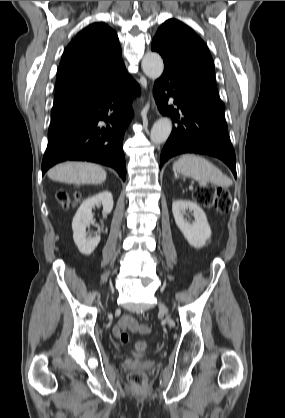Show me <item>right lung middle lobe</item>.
I'll return each mask as SVG.
<instances>
[{
  "mask_svg": "<svg viewBox=\"0 0 285 418\" xmlns=\"http://www.w3.org/2000/svg\"><path fill=\"white\" fill-rule=\"evenodd\" d=\"M70 108H59V109H52L51 110V118H54L60 114H62L63 112L67 111Z\"/></svg>",
  "mask_w": 285,
  "mask_h": 418,
  "instance_id": "right-lung-middle-lobe-1",
  "label": "right lung middle lobe"
}]
</instances>
